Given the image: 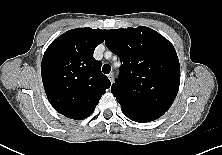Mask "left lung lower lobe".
Listing matches in <instances>:
<instances>
[{"label":"left lung lower lobe","instance_id":"obj_1","mask_svg":"<svg viewBox=\"0 0 222 155\" xmlns=\"http://www.w3.org/2000/svg\"><path fill=\"white\" fill-rule=\"evenodd\" d=\"M129 119L135 121V122H139V123H143V122H149V121H153L155 119L149 118V117H143L140 115H134V114H128V113H124Z\"/></svg>","mask_w":222,"mask_h":155}]
</instances>
